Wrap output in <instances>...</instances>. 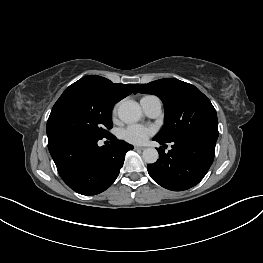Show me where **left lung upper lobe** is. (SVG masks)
<instances>
[{"mask_svg":"<svg viewBox=\"0 0 263 263\" xmlns=\"http://www.w3.org/2000/svg\"><path fill=\"white\" fill-rule=\"evenodd\" d=\"M135 92L154 94L164 104V126L155 139L164 142L179 138L217 140L216 110L210 100L195 86L166 78L141 84Z\"/></svg>","mask_w":263,"mask_h":263,"instance_id":"left-lung-upper-lobe-1","label":"left lung upper lobe"}]
</instances>
